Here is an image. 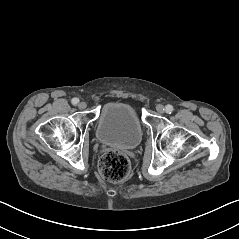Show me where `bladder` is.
<instances>
[{
	"label": "bladder",
	"instance_id": "bladder-1",
	"mask_svg": "<svg viewBox=\"0 0 239 239\" xmlns=\"http://www.w3.org/2000/svg\"><path fill=\"white\" fill-rule=\"evenodd\" d=\"M96 137L106 146L134 149L142 141V127L134 107L125 102H108L99 114Z\"/></svg>",
	"mask_w": 239,
	"mask_h": 239
}]
</instances>
